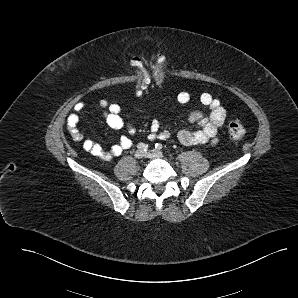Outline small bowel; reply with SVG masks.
Instances as JSON below:
<instances>
[{
  "label": "small bowel",
  "mask_w": 298,
  "mask_h": 298,
  "mask_svg": "<svg viewBox=\"0 0 298 298\" xmlns=\"http://www.w3.org/2000/svg\"><path fill=\"white\" fill-rule=\"evenodd\" d=\"M190 98V94L184 91L177 95V100L180 103H187ZM200 102L210 109V113L206 115L200 111H194L189 114V121L198 124L199 129L194 131L183 129L178 132L177 138L179 142L184 145H214L219 141L218 131L224 124L227 116V110L221 102L217 98H214L210 93H202L200 95ZM100 106L104 109L103 117L109 127L116 130L126 129L128 133V135L122 136L120 140L109 150H105L95 140L85 138L77 127L79 122V113L86 109V102L80 101L74 106V111L67 118V125L72 138L76 141L82 142L85 151L108 161L118 157L124 150L131 147L132 140L130 136L135 134L136 129L132 124L126 123L121 117V109L118 104H110L107 100H101ZM169 137V130L161 128L159 121L153 119L150 124L148 139L166 140Z\"/></svg>",
  "instance_id": "1"
}]
</instances>
